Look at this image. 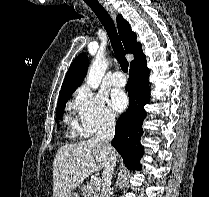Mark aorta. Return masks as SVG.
Listing matches in <instances>:
<instances>
[{"instance_id":"1","label":"aorta","mask_w":209,"mask_h":197,"mask_svg":"<svg viewBox=\"0 0 209 197\" xmlns=\"http://www.w3.org/2000/svg\"><path fill=\"white\" fill-rule=\"evenodd\" d=\"M107 67V60L103 56H96L88 71L86 78L87 85L92 89H97L101 83Z\"/></svg>"}]
</instances>
